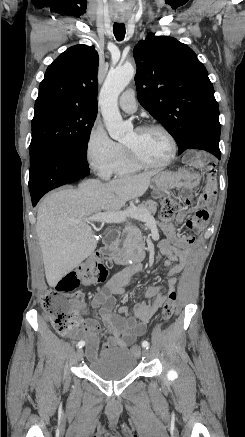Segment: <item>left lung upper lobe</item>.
Instances as JSON below:
<instances>
[{
  "label": "left lung upper lobe",
  "instance_id": "5c2ea615",
  "mask_svg": "<svg viewBox=\"0 0 245 437\" xmlns=\"http://www.w3.org/2000/svg\"><path fill=\"white\" fill-rule=\"evenodd\" d=\"M139 103L174 137L179 153L195 139L219 141V108L195 52L172 37L149 34L134 48Z\"/></svg>",
  "mask_w": 245,
  "mask_h": 437
}]
</instances>
